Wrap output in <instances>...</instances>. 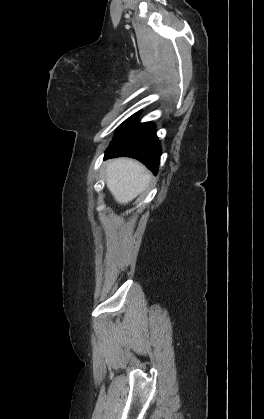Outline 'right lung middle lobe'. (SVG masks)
I'll return each instance as SVG.
<instances>
[{"mask_svg":"<svg viewBox=\"0 0 264 419\" xmlns=\"http://www.w3.org/2000/svg\"><path fill=\"white\" fill-rule=\"evenodd\" d=\"M136 117H134L133 119H129L126 123H124L122 125V127L119 129V131L117 132L116 136L114 137V140L118 137H120L122 134H124L128 129H130L133 124L136 122Z\"/></svg>","mask_w":264,"mask_h":419,"instance_id":"obj_1","label":"right lung middle lobe"}]
</instances>
